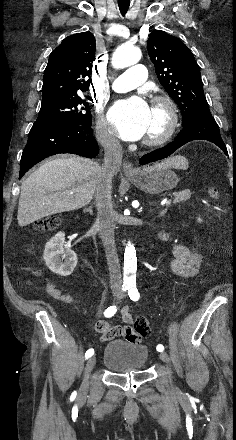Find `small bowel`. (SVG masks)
I'll use <instances>...</instances> for the list:
<instances>
[{
	"label": "small bowel",
	"instance_id": "obj_1",
	"mask_svg": "<svg viewBox=\"0 0 236 440\" xmlns=\"http://www.w3.org/2000/svg\"><path fill=\"white\" fill-rule=\"evenodd\" d=\"M160 238L164 241H171L170 237L164 233L160 234ZM171 245L173 255L171 269L173 273L182 279L197 275L204 266L201 255L183 244L172 243ZM46 290L56 300L66 303L78 302L74 297L63 294L52 281L47 283ZM121 315L126 324H109L102 320L96 322V330L102 335L103 340L112 339L114 336H121L123 341L128 342L130 339L138 338L139 333L137 330H134V325L132 324L133 316L129 307H124L121 310Z\"/></svg>",
	"mask_w": 236,
	"mask_h": 440
}]
</instances>
